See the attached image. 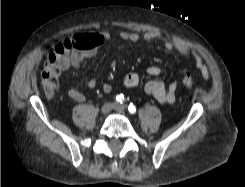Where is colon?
<instances>
[{"mask_svg":"<svg viewBox=\"0 0 245 187\" xmlns=\"http://www.w3.org/2000/svg\"><path fill=\"white\" fill-rule=\"evenodd\" d=\"M82 48L83 39L74 35L58 43L53 52L45 59L41 70V79L47 96H53L58 89L59 65L66 61L73 51ZM182 84L186 88H193L197 85V82L189 74H184Z\"/></svg>","mask_w":245,"mask_h":187,"instance_id":"1","label":"colon"}]
</instances>
